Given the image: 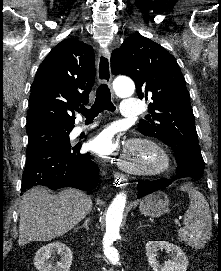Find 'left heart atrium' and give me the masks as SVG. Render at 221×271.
Wrapping results in <instances>:
<instances>
[{
    "label": "left heart atrium",
    "mask_w": 221,
    "mask_h": 271,
    "mask_svg": "<svg viewBox=\"0 0 221 271\" xmlns=\"http://www.w3.org/2000/svg\"><path fill=\"white\" fill-rule=\"evenodd\" d=\"M118 147H121V142H117V132L113 129L101 131L90 142V149L93 152L106 157H113Z\"/></svg>",
    "instance_id": "left-heart-atrium-1"
}]
</instances>
